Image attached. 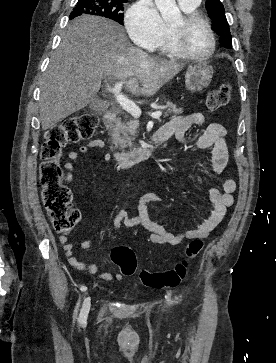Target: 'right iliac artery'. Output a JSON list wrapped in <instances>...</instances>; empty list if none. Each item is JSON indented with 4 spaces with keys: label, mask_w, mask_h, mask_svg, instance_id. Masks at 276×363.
I'll return each instance as SVG.
<instances>
[{
    "label": "right iliac artery",
    "mask_w": 276,
    "mask_h": 363,
    "mask_svg": "<svg viewBox=\"0 0 276 363\" xmlns=\"http://www.w3.org/2000/svg\"><path fill=\"white\" fill-rule=\"evenodd\" d=\"M80 290L82 292H85L87 290V287L86 286H81ZM79 305H80V299L78 300V302L76 304V307H75V310H74V317L77 315Z\"/></svg>",
    "instance_id": "obj_1"
}]
</instances>
